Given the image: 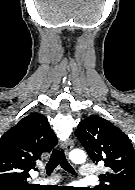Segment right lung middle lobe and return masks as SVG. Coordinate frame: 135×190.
Returning a JSON list of instances; mask_svg holds the SVG:
<instances>
[{
	"instance_id": "1",
	"label": "right lung middle lobe",
	"mask_w": 135,
	"mask_h": 190,
	"mask_svg": "<svg viewBox=\"0 0 135 190\" xmlns=\"http://www.w3.org/2000/svg\"><path fill=\"white\" fill-rule=\"evenodd\" d=\"M34 186L22 183H0V190H34Z\"/></svg>"
}]
</instances>
